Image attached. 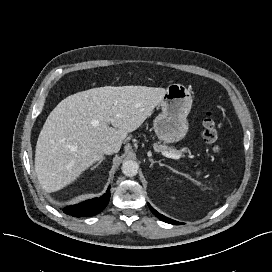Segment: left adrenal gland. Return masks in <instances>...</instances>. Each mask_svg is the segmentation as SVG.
Instances as JSON below:
<instances>
[{
    "instance_id": "a2214340",
    "label": "left adrenal gland",
    "mask_w": 272,
    "mask_h": 272,
    "mask_svg": "<svg viewBox=\"0 0 272 272\" xmlns=\"http://www.w3.org/2000/svg\"><path fill=\"white\" fill-rule=\"evenodd\" d=\"M148 160L151 162L150 167H152L154 163H159L160 164V162H161V161H155L152 158H149Z\"/></svg>"
}]
</instances>
